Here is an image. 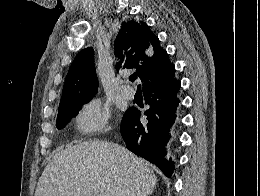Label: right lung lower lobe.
Returning a JSON list of instances; mask_svg holds the SVG:
<instances>
[{
	"mask_svg": "<svg viewBox=\"0 0 260 196\" xmlns=\"http://www.w3.org/2000/svg\"><path fill=\"white\" fill-rule=\"evenodd\" d=\"M180 87L175 69L161 79L144 83L143 95L148 109L140 112L134 107L129 108L121 122V134L127 149L156 164L168 177L173 172L174 161L166 156V146L177 118ZM141 117L145 121L140 122Z\"/></svg>",
	"mask_w": 260,
	"mask_h": 196,
	"instance_id": "right-lung-lower-lobe-1",
	"label": "right lung lower lobe"
}]
</instances>
